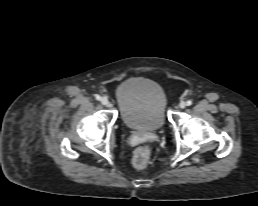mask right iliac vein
Returning <instances> with one entry per match:
<instances>
[{
	"label": "right iliac vein",
	"mask_w": 258,
	"mask_h": 206,
	"mask_svg": "<svg viewBox=\"0 0 258 206\" xmlns=\"http://www.w3.org/2000/svg\"><path fill=\"white\" fill-rule=\"evenodd\" d=\"M101 103L105 106L109 105V100L107 97L103 96L101 99H100Z\"/></svg>",
	"instance_id": "63e3f726"
}]
</instances>
